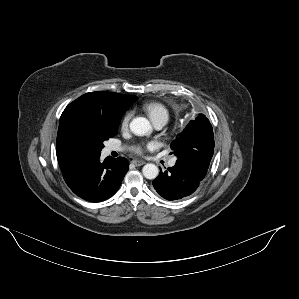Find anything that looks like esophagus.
<instances>
[{"mask_svg": "<svg viewBox=\"0 0 299 299\" xmlns=\"http://www.w3.org/2000/svg\"><path fill=\"white\" fill-rule=\"evenodd\" d=\"M132 163L135 165V166H142L145 164L144 161L142 160H132Z\"/></svg>", "mask_w": 299, "mask_h": 299, "instance_id": "obj_1", "label": "esophagus"}]
</instances>
